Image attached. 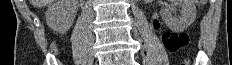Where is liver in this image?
Returning a JSON list of instances; mask_svg holds the SVG:
<instances>
[{
    "instance_id": "1",
    "label": "liver",
    "mask_w": 232,
    "mask_h": 65,
    "mask_svg": "<svg viewBox=\"0 0 232 65\" xmlns=\"http://www.w3.org/2000/svg\"><path fill=\"white\" fill-rule=\"evenodd\" d=\"M31 4L35 7H44L52 4L55 0H30Z\"/></svg>"
}]
</instances>
